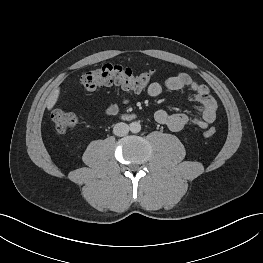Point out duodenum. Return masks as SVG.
I'll return each instance as SVG.
<instances>
[{
    "instance_id": "duodenum-1",
    "label": "duodenum",
    "mask_w": 263,
    "mask_h": 263,
    "mask_svg": "<svg viewBox=\"0 0 263 263\" xmlns=\"http://www.w3.org/2000/svg\"><path fill=\"white\" fill-rule=\"evenodd\" d=\"M124 118L128 119V118H130V116L125 115Z\"/></svg>"
}]
</instances>
